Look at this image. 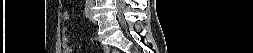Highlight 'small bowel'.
Wrapping results in <instances>:
<instances>
[{
  "mask_svg": "<svg viewBox=\"0 0 253 53\" xmlns=\"http://www.w3.org/2000/svg\"><path fill=\"white\" fill-rule=\"evenodd\" d=\"M62 17L64 21H67L69 18V14L67 12H64ZM62 34H63L62 45H63L64 51L66 53H69L72 51V47L70 45V36L68 33V29L66 27L63 28Z\"/></svg>",
  "mask_w": 253,
  "mask_h": 53,
  "instance_id": "small-bowel-1",
  "label": "small bowel"
}]
</instances>
